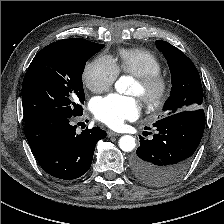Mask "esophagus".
I'll return each mask as SVG.
<instances>
[{
    "mask_svg": "<svg viewBox=\"0 0 224 224\" xmlns=\"http://www.w3.org/2000/svg\"><path fill=\"white\" fill-rule=\"evenodd\" d=\"M120 134L117 132H113V131H108V137H112V136H119Z\"/></svg>",
    "mask_w": 224,
    "mask_h": 224,
    "instance_id": "1",
    "label": "esophagus"
}]
</instances>
